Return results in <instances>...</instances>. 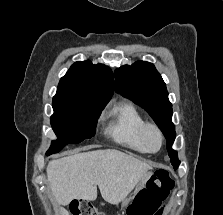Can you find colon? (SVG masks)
<instances>
[{"label": "colon", "instance_id": "colon-1", "mask_svg": "<svg viewBox=\"0 0 223 215\" xmlns=\"http://www.w3.org/2000/svg\"><path fill=\"white\" fill-rule=\"evenodd\" d=\"M174 187V181L166 170H157L149 179L146 187L138 193L129 206L128 215H158L162 202ZM71 215H104L90 203L73 202Z\"/></svg>", "mask_w": 223, "mask_h": 215}]
</instances>
